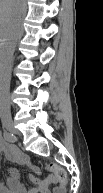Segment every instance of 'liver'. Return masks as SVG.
I'll return each instance as SVG.
<instances>
[{"label": "liver", "mask_w": 103, "mask_h": 193, "mask_svg": "<svg viewBox=\"0 0 103 193\" xmlns=\"http://www.w3.org/2000/svg\"><path fill=\"white\" fill-rule=\"evenodd\" d=\"M20 5L21 0H0V24L1 32L4 37L7 36L9 27L20 8Z\"/></svg>", "instance_id": "1"}]
</instances>
